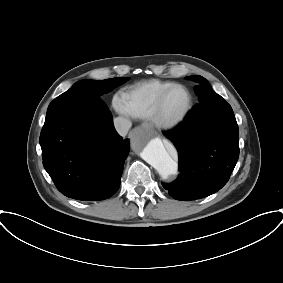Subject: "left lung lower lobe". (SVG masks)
I'll use <instances>...</instances> for the list:
<instances>
[{"label": "left lung lower lobe", "instance_id": "obj_1", "mask_svg": "<svg viewBox=\"0 0 283 283\" xmlns=\"http://www.w3.org/2000/svg\"><path fill=\"white\" fill-rule=\"evenodd\" d=\"M218 94L190 110L174 129L164 132L178 150L179 177L163 184L177 200H195L220 190L239 158V135L223 134L233 115Z\"/></svg>", "mask_w": 283, "mask_h": 283}]
</instances>
